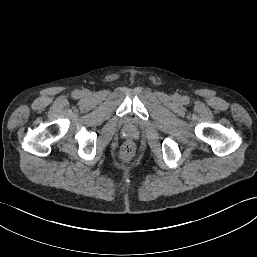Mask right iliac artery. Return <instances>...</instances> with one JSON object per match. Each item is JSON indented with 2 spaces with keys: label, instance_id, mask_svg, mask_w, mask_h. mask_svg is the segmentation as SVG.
Here are the masks:
<instances>
[{
  "label": "right iliac artery",
  "instance_id": "1",
  "mask_svg": "<svg viewBox=\"0 0 257 257\" xmlns=\"http://www.w3.org/2000/svg\"><path fill=\"white\" fill-rule=\"evenodd\" d=\"M80 96V91L79 90H75L74 92H73V97L74 98H78Z\"/></svg>",
  "mask_w": 257,
  "mask_h": 257
}]
</instances>
